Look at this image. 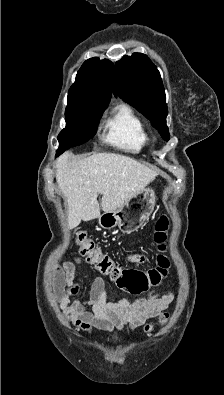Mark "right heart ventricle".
<instances>
[{"instance_id": "e07e8e85", "label": "right heart ventricle", "mask_w": 224, "mask_h": 395, "mask_svg": "<svg viewBox=\"0 0 224 395\" xmlns=\"http://www.w3.org/2000/svg\"><path fill=\"white\" fill-rule=\"evenodd\" d=\"M103 140L121 150L140 153L150 144V137L142 119L126 104H119L108 116Z\"/></svg>"}]
</instances>
